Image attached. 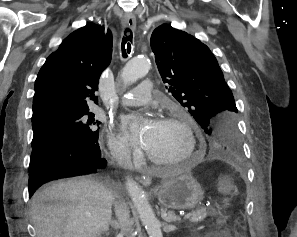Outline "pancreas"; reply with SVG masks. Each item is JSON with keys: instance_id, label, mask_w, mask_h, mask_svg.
<instances>
[{"instance_id": "1", "label": "pancreas", "mask_w": 297, "mask_h": 237, "mask_svg": "<svg viewBox=\"0 0 297 237\" xmlns=\"http://www.w3.org/2000/svg\"><path fill=\"white\" fill-rule=\"evenodd\" d=\"M211 213L204 207H200L197 210L190 213L187 218L191 223H198L203 221Z\"/></svg>"}]
</instances>
